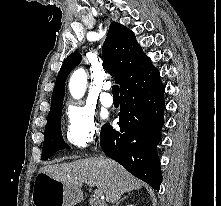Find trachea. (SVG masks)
I'll use <instances>...</instances> for the list:
<instances>
[{"label": "trachea", "instance_id": "3493384b", "mask_svg": "<svg viewBox=\"0 0 221 206\" xmlns=\"http://www.w3.org/2000/svg\"><path fill=\"white\" fill-rule=\"evenodd\" d=\"M112 94H113V96L119 97V86L118 85L112 86Z\"/></svg>", "mask_w": 221, "mask_h": 206}]
</instances>
